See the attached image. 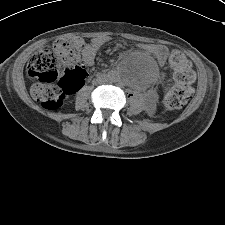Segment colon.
I'll return each instance as SVG.
<instances>
[{"instance_id": "colon-1", "label": "colon", "mask_w": 225, "mask_h": 225, "mask_svg": "<svg viewBox=\"0 0 225 225\" xmlns=\"http://www.w3.org/2000/svg\"><path fill=\"white\" fill-rule=\"evenodd\" d=\"M83 43L79 37H61L51 46H44L30 59L27 75L36 81L31 87V94L46 110L61 107L69 94L84 85L87 72L77 65ZM168 64L173 85L164 94L163 105L170 110L180 109L193 96L194 72L187 57L179 51L170 54ZM62 70L64 76L58 80Z\"/></svg>"}]
</instances>
